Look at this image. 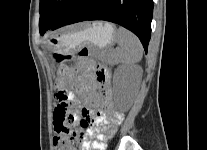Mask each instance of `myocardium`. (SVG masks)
<instances>
[{
	"mask_svg": "<svg viewBox=\"0 0 207 150\" xmlns=\"http://www.w3.org/2000/svg\"><path fill=\"white\" fill-rule=\"evenodd\" d=\"M55 7H63L71 2V0H54Z\"/></svg>",
	"mask_w": 207,
	"mask_h": 150,
	"instance_id": "f54148a6",
	"label": "myocardium"
}]
</instances>
